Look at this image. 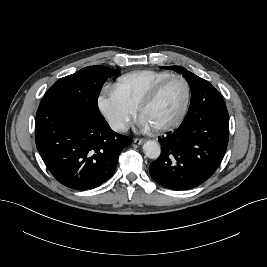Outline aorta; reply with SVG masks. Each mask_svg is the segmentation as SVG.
<instances>
[{
	"mask_svg": "<svg viewBox=\"0 0 267 267\" xmlns=\"http://www.w3.org/2000/svg\"><path fill=\"white\" fill-rule=\"evenodd\" d=\"M143 150L150 159H157L160 156L161 148L159 143L154 140H148L143 144Z\"/></svg>",
	"mask_w": 267,
	"mask_h": 267,
	"instance_id": "aorta-1",
	"label": "aorta"
}]
</instances>
